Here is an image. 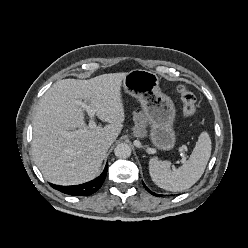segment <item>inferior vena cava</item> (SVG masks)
<instances>
[{
    "label": "inferior vena cava",
    "mask_w": 248,
    "mask_h": 248,
    "mask_svg": "<svg viewBox=\"0 0 248 248\" xmlns=\"http://www.w3.org/2000/svg\"><path fill=\"white\" fill-rule=\"evenodd\" d=\"M112 143L113 141L110 138H106L100 141V146L102 148L108 149Z\"/></svg>",
    "instance_id": "602c4592"
}]
</instances>
